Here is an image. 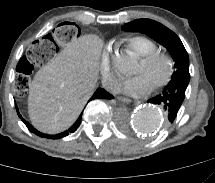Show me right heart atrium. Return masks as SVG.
Returning a JSON list of instances; mask_svg holds the SVG:
<instances>
[{
	"instance_id": "right-heart-atrium-1",
	"label": "right heart atrium",
	"mask_w": 215,
	"mask_h": 183,
	"mask_svg": "<svg viewBox=\"0 0 215 183\" xmlns=\"http://www.w3.org/2000/svg\"><path fill=\"white\" fill-rule=\"evenodd\" d=\"M101 71L109 90H114L117 85L118 77L113 69L109 51L106 49L101 56Z\"/></svg>"
}]
</instances>
